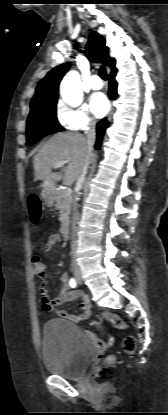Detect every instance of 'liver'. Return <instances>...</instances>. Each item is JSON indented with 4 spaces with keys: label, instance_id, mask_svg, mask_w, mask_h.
<instances>
[{
    "label": "liver",
    "instance_id": "obj_1",
    "mask_svg": "<svg viewBox=\"0 0 168 415\" xmlns=\"http://www.w3.org/2000/svg\"><path fill=\"white\" fill-rule=\"evenodd\" d=\"M94 157L93 152L88 153L83 135L71 132L57 133L42 146L34 157L35 179L43 181L44 189H48L60 180L66 185H71L77 181L86 160L90 163ZM63 160H67L68 165L62 168L61 172H53L54 164Z\"/></svg>",
    "mask_w": 168,
    "mask_h": 415
}]
</instances>
